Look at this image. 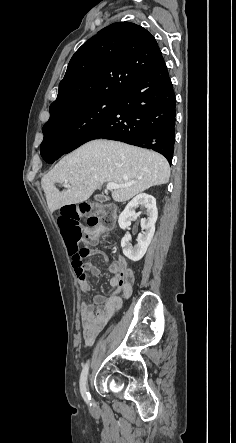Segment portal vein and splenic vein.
Returning <instances> with one entry per match:
<instances>
[{
	"label": "portal vein and splenic vein",
	"mask_w": 236,
	"mask_h": 443,
	"mask_svg": "<svg viewBox=\"0 0 236 443\" xmlns=\"http://www.w3.org/2000/svg\"><path fill=\"white\" fill-rule=\"evenodd\" d=\"M63 186L66 188H70V185L68 183H64ZM123 187H125V185H119V184H116L113 182L108 183L106 186L107 190H114V189H119V188H123Z\"/></svg>",
	"instance_id": "portal-vein-and-splenic-vein-1"
}]
</instances>
